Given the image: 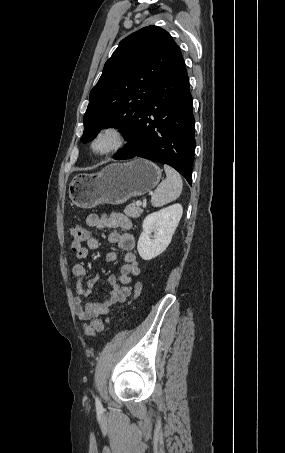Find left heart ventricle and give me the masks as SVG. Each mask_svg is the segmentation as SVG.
Returning a JSON list of instances; mask_svg holds the SVG:
<instances>
[{
  "label": "left heart ventricle",
  "instance_id": "1",
  "mask_svg": "<svg viewBox=\"0 0 285 453\" xmlns=\"http://www.w3.org/2000/svg\"><path fill=\"white\" fill-rule=\"evenodd\" d=\"M113 144V139L109 136H104L96 142V149L100 152L107 150Z\"/></svg>",
  "mask_w": 285,
  "mask_h": 453
}]
</instances>
